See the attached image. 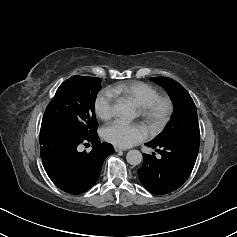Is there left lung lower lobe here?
Instances as JSON below:
<instances>
[{"mask_svg":"<svg viewBox=\"0 0 237 237\" xmlns=\"http://www.w3.org/2000/svg\"><path fill=\"white\" fill-rule=\"evenodd\" d=\"M148 147L156 148L161 155L144 154V161L138 169V176L143 186L153 194H167L179 188L189 177L199 150V143L148 142Z\"/></svg>","mask_w":237,"mask_h":237,"instance_id":"left-lung-lower-lobe-1","label":"left lung lower lobe"}]
</instances>
